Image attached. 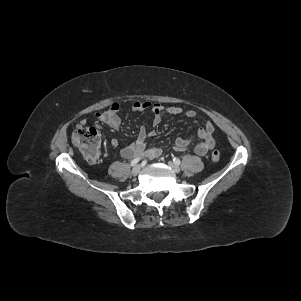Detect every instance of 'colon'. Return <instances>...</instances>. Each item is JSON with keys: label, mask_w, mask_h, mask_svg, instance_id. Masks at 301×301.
<instances>
[{"label": "colon", "mask_w": 301, "mask_h": 301, "mask_svg": "<svg viewBox=\"0 0 301 301\" xmlns=\"http://www.w3.org/2000/svg\"><path fill=\"white\" fill-rule=\"evenodd\" d=\"M72 142L88 162H96L98 160L100 134L97 128L79 126L73 133ZM211 158L214 162H218L220 160V152L214 150Z\"/></svg>", "instance_id": "obj_1"}]
</instances>
